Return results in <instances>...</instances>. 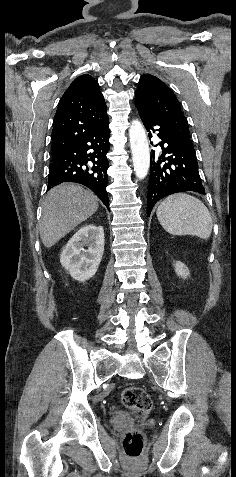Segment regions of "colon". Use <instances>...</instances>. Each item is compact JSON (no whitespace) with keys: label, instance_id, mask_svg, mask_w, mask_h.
<instances>
[{"label":"colon","instance_id":"obj_1","mask_svg":"<svg viewBox=\"0 0 236 477\" xmlns=\"http://www.w3.org/2000/svg\"><path fill=\"white\" fill-rule=\"evenodd\" d=\"M122 403L137 417L144 418L152 408V401L147 392L139 386H129L121 392ZM123 447L130 458L140 457L143 449L142 435L137 431H127L123 436Z\"/></svg>","mask_w":236,"mask_h":477}]
</instances>
